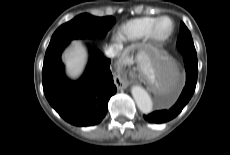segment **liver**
I'll return each instance as SVG.
<instances>
[{
    "label": "liver",
    "instance_id": "obj_1",
    "mask_svg": "<svg viewBox=\"0 0 230 155\" xmlns=\"http://www.w3.org/2000/svg\"><path fill=\"white\" fill-rule=\"evenodd\" d=\"M62 60L65 64L66 75L72 80H77L85 70L89 53L80 40H74L72 46L63 53Z\"/></svg>",
    "mask_w": 230,
    "mask_h": 155
}]
</instances>
